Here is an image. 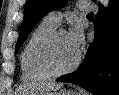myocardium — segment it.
Segmentation results:
<instances>
[{
    "label": "myocardium",
    "mask_w": 119,
    "mask_h": 95,
    "mask_svg": "<svg viewBox=\"0 0 119 95\" xmlns=\"http://www.w3.org/2000/svg\"><path fill=\"white\" fill-rule=\"evenodd\" d=\"M61 33H67V31L63 28H56L50 34L46 36V38L42 41L39 50H38V62L40 67L52 77L61 76L68 74L74 71L80 64L81 61V53L80 51L77 53V57L74 62L66 68L57 69L54 67L51 61V49L54 41Z\"/></svg>",
    "instance_id": "myocardium-1"
}]
</instances>
